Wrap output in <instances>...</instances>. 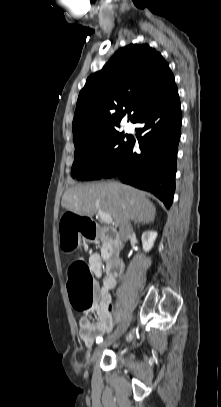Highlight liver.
I'll list each match as a JSON object with an SVG mask.
<instances>
[{
  "label": "liver",
  "mask_w": 221,
  "mask_h": 407,
  "mask_svg": "<svg viewBox=\"0 0 221 407\" xmlns=\"http://www.w3.org/2000/svg\"><path fill=\"white\" fill-rule=\"evenodd\" d=\"M61 205L80 216L92 217L99 210L109 213L115 226L125 218L143 223L155 219L156 208L144 192L118 182L91 183L68 189Z\"/></svg>",
  "instance_id": "obj_1"
}]
</instances>
